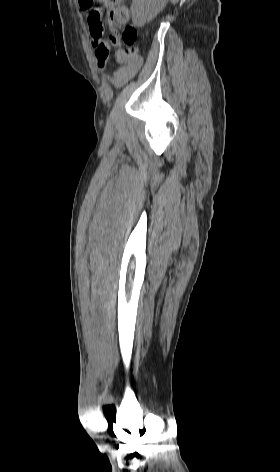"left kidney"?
<instances>
[{
	"instance_id": "5707ae66",
	"label": "left kidney",
	"mask_w": 280,
	"mask_h": 472,
	"mask_svg": "<svg viewBox=\"0 0 280 472\" xmlns=\"http://www.w3.org/2000/svg\"><path fill=\"white\" fill-rule=\"evenodd\" d=\"M163 0H133L131 14L133 24L137 27L152 21L163 7Z\"/></svg>"
}]
</instances>
